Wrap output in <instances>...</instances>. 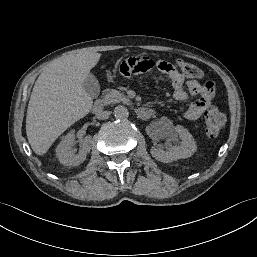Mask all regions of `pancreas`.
Here are the masks:
<instances>
[{
  "label": "pancreas",
  "instance_id": "1",
  "mask_svg": "<svg viewBox=\"0 0 257 257\" xmlns=\"http://www.w3.org/2000/svg\"><path fill=\"white\" fill-rule=\"evenodd\" d=\"M103 102L105 105L119 102L129 103V98L122 92L115 89H105L103 91Z\"/></svg>",
  "mask_w": 257,
  "mask_h": 257
}]
</instances>
